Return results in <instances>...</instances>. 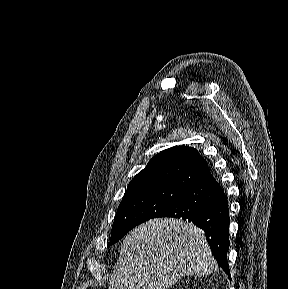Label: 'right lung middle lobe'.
<instances>
[{"label":"right lung middle lobe","mask_w":288,"mask_h":289,"mask_svg":"<svg viewBox=\"0 0 288 289\" xmlns=\"http://www.w3.org/2000/svg\"><path fill=\"white\" fill-rule=\"evenodd\" d=\"M186 190L155 187L126 192L114 218L111 240L113 245L136 225L160 216L185 195Z\"/></svg>","instance_id":"1"}]
</instances>
